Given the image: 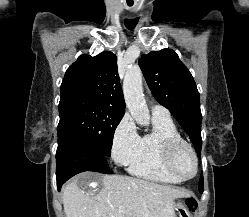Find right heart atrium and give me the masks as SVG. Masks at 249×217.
<instances>
[{
  "label": "right heart atrium",
  "instance_id": "d8ad5b80",
  "mask_svg": "<svg viewBox=\"0 0 249 217\" xmlns=\"http://www.w3.org/2000/svg\"><path fill=\"white\" fill-rule=\"evenodd\" d=\"M139 142L140 136L134 121L129 115H124L112 135L111 153L116 165H129L138 149Z\"/></svg>",
  "mask_w": 249,
  "mask_h": 217
}]
</instances>
